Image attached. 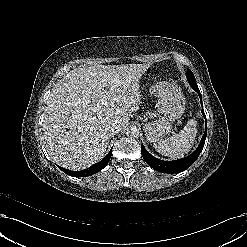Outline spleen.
Segmentation results:
<instances>
[{
  "label": "spleen",
  "instance_id": "spleen-1",
  "mask_svg": "<svg viewBox=\"0 0 247 247\" xmlns=\"http://www.w3.org/2000/svg\"><path fill=\"white\" fill-rule=\"evenodd\" d=\"M196 127V120H189L178 134L154 143L155 149L162 155L172 159L183 157L184 154H187L192 148L197 133Z\"/></svg>",
  "mask_w": 247,
  "mask_h": 247
}]
</instances>
